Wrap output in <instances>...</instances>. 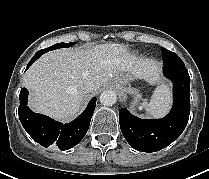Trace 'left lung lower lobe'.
Segmentation results:
<instances>
[{
    "instance_id": "1",
    "label": "left lung lower lobe",
    "mask_w": 209,
    "mask_h": 179,
    "mask_svg": "<svg viewBox=\"0 0 209 179\" xmlns=\"http://www.w3.org/2000/svg\"><path fill=\"white\" fill-rule=\"evenodd\" d=\"M164 76L173 82V107L161 119H140L128 110L119 111L123 136L136 150L159 151L175 141L184 131L190 114V77L184 63L163 67Z\"/></svg>"
}]
</instances>
